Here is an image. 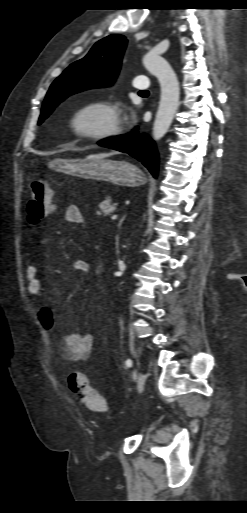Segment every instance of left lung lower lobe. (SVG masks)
<instances>
[{"instance_id":"obj_1","label":"left lung lower lobe","mask_w":247,"mask_h":513,"mask_svg":"<svg viewBox=\"0 0 247 513\" xmlns=\"http://www.w3.org/2000/svg\"><path fill=\"white\" fill-rule=\"evenodd\" d=\"M98 145L128 153L142 162L157 177L158 153L154 142L144 134H140L135 128L131 133L118 136L109 140H101Z\"/></svg>"}]
</instances>
